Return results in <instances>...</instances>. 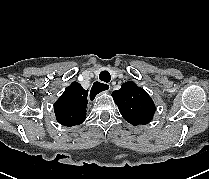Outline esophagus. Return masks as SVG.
Returning <instances> with one entry per match:
<instances>
[{"mask_svg": "<svg viewBox=\"0 0 209 179\" xmlns=\"http://www.w3.org/2000/svg\"><path fill=\"white\" fill-rule=\"evenodd\" d=\"M110 89H111L110 84L107 83L102 84L99 82H95L91 88L90 95L95 96L102 91L109 92Z\"/></svg>", "mask_w": 209, "mask_h": 179, "instance_id": "34e87169", "label": "esophagus"}]
</instances>
